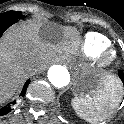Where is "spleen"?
<instances>
[{"instance_id": "obj_1", "label": "spleen", "mask_w": 124, "mask_h": 124, "mask_svg": "<svg viewBox=\"0 0 124 124\" xmlns=\"http://www.w3.org/2000/svg\"><path fill=\"white\" fill-rule=\"evenodd\" d=\"M112 81V84H107L105 89L93 98L75 97L72 99V107L76 113L89 122L95 123L106 119L110 114L109 110L117 105L120 96L119 84L113 78Z\"/></svg>"}]
</instances>
